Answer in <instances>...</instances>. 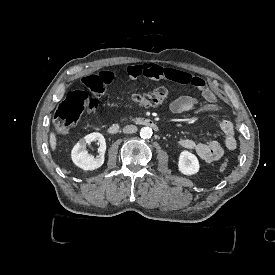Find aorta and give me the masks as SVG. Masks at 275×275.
<instances>
[{
	"label": "aorta",
	"instance_id": "obj_1",
	"mask_svg": "<svg viewBox=\"0 0 275 275\" xmlns=\"http://www.w3.org/2000/svg\"><path fill=\"white\" fill-rule=\"evenodd\" d=\"M152 134V129L149 127H142L140 130V136L142 139H149L151 138Z\"/></svg>",
	"mask_w": 275,
	"mask_h": 275
}]
</instances>
